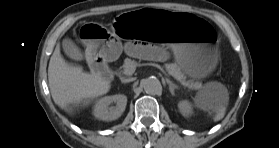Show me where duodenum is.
<instances>
[{
	"label": "duodenum",
	"instance_id": "obj_1",
	"mask_svg": "<svg viewBox=\"0 0 279 148\" xmlns=\"http://www.w3.org/2000/svg\"><path fill=\"white\" fill-rule=\"evenodd\" d=\"M90 68L105 77H108L111 72L108 64L101 57H93L90 60Z\"/></svg>",
	"mask_w": 279,
	"mask_h": 148
}]
</instances>
